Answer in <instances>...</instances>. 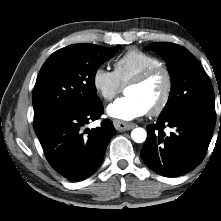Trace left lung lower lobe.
Wrapping results in <instances>:
<instances>
[{
	"instance_id": "1",
	"label": "left lung lower lobe",
	"mask_w": 221,
	"mask_h": 221,
	"mask_svg": "<svg viewBox=\"0 0 221 221\" xmlns=\"http://www.w3.org/2000/svg\"><path fill=\"white\" fill-rule=\"evenodd\" d=\"M214 123L200 114L184 112L158 118L148 125L147 139L141 157L153 171L167 177L184 175L204 159L212 138ZM175 128L168 136L163 128Z\"/></svg>"
}]
</instances>
